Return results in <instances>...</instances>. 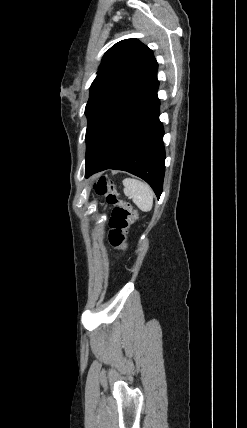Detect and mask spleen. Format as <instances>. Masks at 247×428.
Returning a JSON list of instances; mask_svg holds the SVG:
<instances>
[{
	"instance_id": "1",
	"label": "spleen",
	"mask_w": 247,
	"mask_h": 428,
	"mask_svg": "<svg viewBox=\"0 0 247 428\" xmlns=\"http://www.w3.org/2000/svg\"><path fill=\"white\" fill-rule=\"evenodd\" d=\"M124 194L130 198L137 205V207L148 212L153 206V191L151 187L139 180L126 178L123 181Z\"/></svg>"
}]
</instances>
